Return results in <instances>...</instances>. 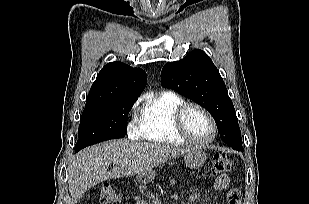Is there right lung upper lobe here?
<instances>
[{
    "label": "right lung upper lobe",
    "mask_w": 309,
    "mask_h": 204,
    "mask_svg": "<svg viewBox=\"0 0 309 204\" xmlns=\"http://www.w3.org/2000/svg\"><path fill=\"white\" fill-rule=\"evenodd\" d=\"M147 83V75L140 68H132L122 62H111L99 72L86 104L117 99H137Z\"/></svg>",
    "instance_id": "1"
}]
</instances>
